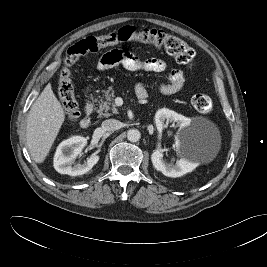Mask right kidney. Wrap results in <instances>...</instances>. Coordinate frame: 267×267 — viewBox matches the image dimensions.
Segmentation results:
<instances>
[{"label":"right kidney","instance_id":"right-kidney-1","mask_svg":"<svg viewBox=\"0 0 267 267\" xmlns=\"http://www.w3.org/2000/svg\"><path fill=\"white\" fill-rule=\"evenodd\" d=\"M87 144L86 138L73 136L64 140L57 147L54 156V168L61 174L77 176L87 173L98 162L99 156L92 155L84 164L74 165L76 157L81 154L82 149Z\"/></svg>","mask_w":267,"mask_h":267}]
</instances>
